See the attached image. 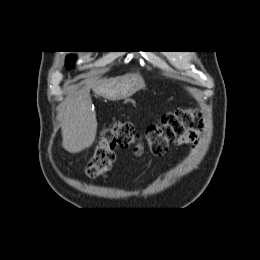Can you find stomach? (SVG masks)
Instances as JSON below:
<instances>
[{"label":"stomach","mask_w":260,"mask_h":260,"mask_svg":"<svg viewBox=\"0 0 260 260\" xmlns=\"http://www.w3.org/2000/svg\"><path fill=\"white\" fill-rule=\"evenodd\" d=\"M144 87L143 79L138 75H126L118 77L116 83L111 87L113 100H120L132 96Z\"/></svg>","instance_id":"stomach-1"}]
</instances>
